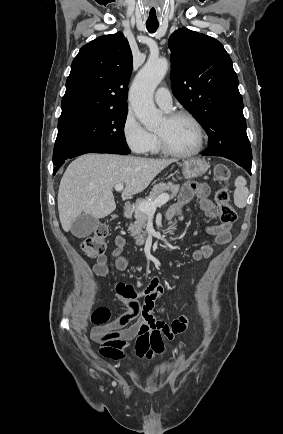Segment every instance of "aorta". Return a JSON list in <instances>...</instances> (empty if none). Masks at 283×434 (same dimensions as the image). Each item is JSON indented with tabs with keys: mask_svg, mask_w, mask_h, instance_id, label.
<instances>
[{
	"mask_svg": "<svg viewBox=\"0 0 283 434\" xmlns=\"http://www.w3.org/2000/svg\"><path fill=\"white\" fill-rule=\"evenodd\" d=\"M168 61L165 58H149L135 77L129 100L139 121L148 129H156L162 121V112L155 107L153 94L166 75Z\"/></svg>",
	"mask_w": 283,
	"mask_h": 434,
	"instance_id": "1",
	"label": "aorta"
}]
</instances>
